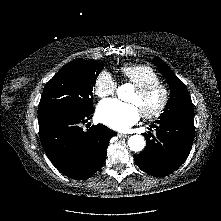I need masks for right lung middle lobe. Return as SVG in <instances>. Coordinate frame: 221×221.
<instances>
[{
	"label": "right lung middle lobe",
	"mask_w": 221,
	"mask_h": 221,
	"mask_svg": "<svg viewBox=\"0 0 221 221\" xmlns=\"http://www.w3.org/2000/svg\"><path fill=\"white\" fill-rule=\"evenodd\" d=\"M103 66L81 59L64 65L44 87L38 106V119L91 109L93 86Z\"/></svg>",
	"instance_id": "right-lung-middle-lobe-1"
}]
</instances>
